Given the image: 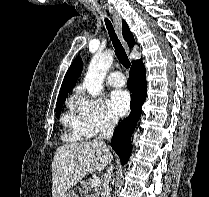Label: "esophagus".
Returning a JSON list of instances; mask_svg holds the SVG:
<instances>
[{"label":"esophagus","instance_id":"esophagus-1","mask_svg":"<svg viewBox=\"0 0 209 197\" xmlns=\"http://www.w3.org/2000/svg\"><path fill=\"white\" fill-rule=\"evenodd\" d=\"M106 6H107L110 14L112 15V18H113L118 36H119L121 42L123 43L126 51L129 52V47H128V45H127V43L124 40L123 35H122V18H121V15L112 6H110L108 4H106Z\"/></svg>","mask_w":209,"mask_h":197}]
</instances>
